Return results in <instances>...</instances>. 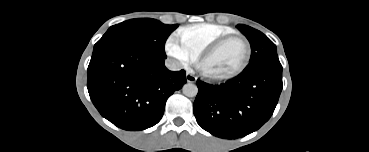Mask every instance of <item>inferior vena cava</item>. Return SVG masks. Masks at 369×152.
<instances>
[{
	"label": "inferior vena cava",
	"mask_w": 369,
	"mask_h": 152,
	"mask_svg": "<svg viewBox=\"0 0 369 152\" xmlns=\"http://www.w3.org/2000/svg\"><path fill=\"white\" fill-rule=\"evenodd\" d=\"M165 66L171 71H179L182 69V64L171 58L166 59Z\"/></svg>",
	"instance_id": "1"
}]
</instances>
